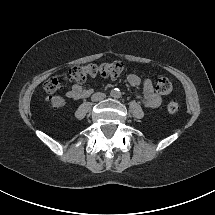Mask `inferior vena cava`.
<instances>
[{
	"mask_svg": "<svg viewBox=\"0 0 215 215\" xmlns=\"http://www.w3.org/2000/svg\"><path fill=\"white\" fill-rule=\"evenodd\" d=\"M102 97H105V94H102Z\"/></svg>",
	"mask_w": 215,
	"mask_h": 215,
	"instance_id": "inferior-vena-cava-1",
	"label": "inferior vena cava"
}]
</instances>
